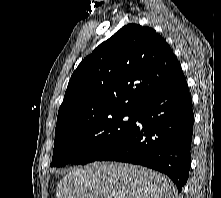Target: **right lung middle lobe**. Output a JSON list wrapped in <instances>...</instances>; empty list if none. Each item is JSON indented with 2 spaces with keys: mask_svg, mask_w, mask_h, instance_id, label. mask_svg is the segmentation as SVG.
I'll return each mask as SVG.
<instances>
[{
  "mask_svg": "<svg viewBox=\"0 0 221 198\" xmlns=\"http://www.w3.org/2000/svg\"><path fill=\"white\" fill-rule=\"evenodd\" d=\"M128 116V121L124 118ZM134 113H116L88 126L55 137L51 167L66 164H86L93 161L121 141L132 129Z\"/></svg>",
  "mask_w": 221,
  "mask_h": 198,
  "instance_id": "dd1d6c3e",
  "label": "right lung middle lobe"
}]
</instances>
